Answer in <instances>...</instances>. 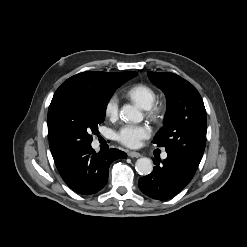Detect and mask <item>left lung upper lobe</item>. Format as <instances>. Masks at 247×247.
Listing matches in <instances>:
<instances>
[{
	"mask_svg": "<svg viewBox=\"0 0 247 247\" xmlns=\"http://www.w3.org/2000/svg\"><path fill=\"white\" fill-rule=\"evenodd\" d=\"M150 80L167 98L164 126L154 143L167 153L189 155L201 159L206 143V110L196 88L173 73L148 72Z\"/></svg>",
	"mask_w": 247,
	"mask_h": 247,
	"instance_id": "left-lung-upper-lobe-1",
	"label": "left lung upper lobe"
}]
</instances>
